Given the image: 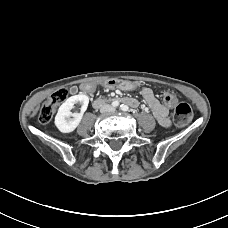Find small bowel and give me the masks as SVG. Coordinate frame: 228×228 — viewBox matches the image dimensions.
<instances>
[{"mask_svg":"<svg viewBox=\"0 0 228 228\" xmlns=\"http://www.w3.org/2000/svg\"><path fill=\"white\" fill-rule=\"evenodd\" d=\"M105 87L111 89H120V90H130L133 88V85L127 81H118V80H108L104 83ZM139 93L149 106L152 111L153 116L158 121V123L163 127H169L171 125V121L168 117L169 110L168 108L162 104L154 95L153 91L148 87H140ZM135 101V105H137V101Z\"/></svg>","mask_w":228,"mask_h":228,"instance_id":"small-bowel-1","label":"small bowel"}]
</instances>
